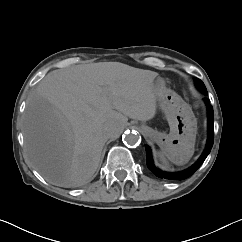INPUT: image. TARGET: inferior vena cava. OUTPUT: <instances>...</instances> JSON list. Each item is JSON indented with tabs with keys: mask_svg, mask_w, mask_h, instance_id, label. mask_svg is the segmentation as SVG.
Wrapping results in <instances>:
<instances>
[{
	"mask_svg": "<svg viewBox=\"0 0 242 242\" xmlns=\"http://www.w3.org/2000/svg\"><path fill=\"white\" fill-rule=\"evenodd\" d=\"M122 130V123L119 120H113L106 127V134L110 138H115Z\"/></svg>",
	"mask_w": 242,
	"mask_h": 242,
	"instance_id": "1",
	"label": "inferior vena cava"
}]
</instances>
